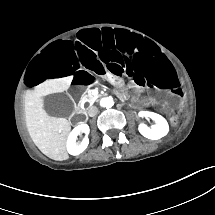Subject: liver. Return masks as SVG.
<instances>
[{"instance_id":"6515ba94","label":"liver","mask_w":215,"mask_h":215,"mask_svg":"<svg viewBox=\"0 0 215 215\" xmlns=\"http://www.w3.org/2000/svg\"><path fill=\"white\" fill-rule=\"evenodd\" d=\"M73 76L47 80L25 97L26 126L34 144L40 151L54 160L68 159L66 141L71 125L66 118L49 116L43 109L42 96L69 89Z\"/></svg>"}]
</instances>
